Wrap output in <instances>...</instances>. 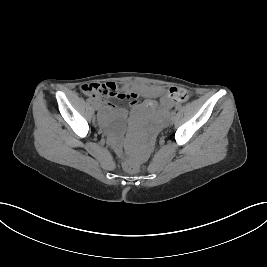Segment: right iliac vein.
<instances>
[{
  "label": "right iliac vein",
  "mask_w": 267,
  "mask_h": 267,
  "mask_svg": "<svg viewBox=\"0 0 267 267\" xmlns=\"http://www.w3.org/2000/svg\"><path fill=\"white\" fill-rule=\"evenodd\" d=\"M93 108H94L95 110H99V105H98L97 103H94V104H93Z\"/></svg>",
  "instance_id": "obj_1"
}]
</instances>
